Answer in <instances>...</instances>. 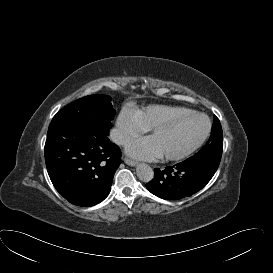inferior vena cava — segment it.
Listing matches in <instances>:
<instances>
[{
    "label": "inferior vena cava",
    "instance_id": "1",
    "mask_svg": "<svg viewBox=\"0 0 273 273\" xmlns=\"http://www.w3.org/2000/svg\"><path fill=\"white\" fill-rule=\"evenodd\" d=\"M109 138L118 144H125L126 143V137L123 135L120 129L118 128H112L109 134Z\"/></svg>",
    "mask_w": 273,
    "mask_h": 273
}]
</instances>
